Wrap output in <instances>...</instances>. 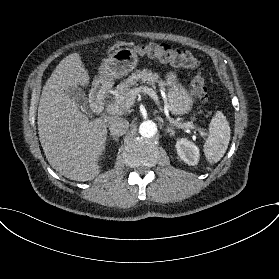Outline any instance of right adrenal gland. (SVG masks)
Returning a JSON list of instances; mask_svg holds the SVG:
<instances>
[{
  "label": "right adrenal gland",
  "instance_id": "1",
  "mask_svg": "<svg viewBox=\"0 0 279 279\" xmlns=\"http://www.w3.org/2000/svg\"><path fill=\"white\" fill-rule=\"evenodd\" d=\"M109 138L116 141V142H119V136H115V135L110 134Z\"/></svg>",
  "mask_w": 279,
  "mask_h": 279
}]
</instances>
